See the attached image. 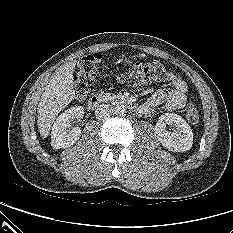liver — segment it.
<instances>
[{
	"mask_svg": "<svg viewBox=\"0 0 233 233\" xmlns=\"http://www.w3.org/2000/svg\"><path fill=\"white\" fill-rule=\"evenodd\" d=\"M76 61L61 66L45 87L41 100L38 104L37 125L39 133L46 138L57 115L74 98L73 72Z\"/></svg>",
	"mask_w": 233,
	"mask_h": 233,
	"instance_id": "liver-1",
	"label": "liver"
}]
</instances>
